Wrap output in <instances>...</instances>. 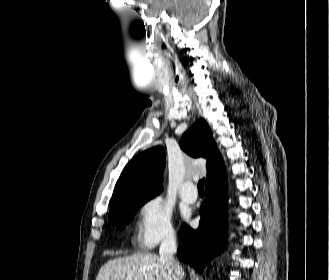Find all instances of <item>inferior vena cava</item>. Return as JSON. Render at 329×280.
Listing matches in <instances>:
<instances>
[{
	"instance_id": "1",
	"label": "inferior vena cava",
	"mask_w": 329,
	"mask_h": 280,
	"mask_svg": "<svg viewBox=\"0 0 329 280\" xmlns=\"http://www.w3.org/2000/svg\"><path fill=\"white\" fill-rule=\"evenodd\" d=\"M177 251L176 236L173 231L168 232L162 240L160 245L159 254L161 260H163L173 272L174 280H182L183 270L179 265V262L174 259L173 255Z\"/></svg>"
}]
</instances>
